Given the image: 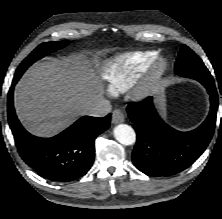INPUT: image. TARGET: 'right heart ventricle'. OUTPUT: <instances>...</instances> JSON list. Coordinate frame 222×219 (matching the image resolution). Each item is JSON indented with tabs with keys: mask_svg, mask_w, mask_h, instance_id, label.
Masks as SVG:
<instances>
[{
	"mask_svg": "<svg viewBox=\"0 0 222 219\" xmlns=\"http://www.w3.org/2000/svg\"><path fill=\"white\" fill-rule=\"evenodd\" d=\"M156 51L123 53L106 61L100 76L110 93L127 89L157 58Z\"/></svg>",
	"mask_w": 222,
	"mask_h": 219,
	"instance_id": "1",
	"label": "right heart ventricle"
}]
</instances>
